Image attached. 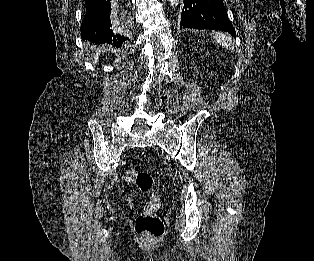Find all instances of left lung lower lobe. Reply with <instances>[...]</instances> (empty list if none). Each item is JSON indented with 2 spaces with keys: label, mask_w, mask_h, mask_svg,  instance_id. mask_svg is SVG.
Masks as SVG:
<instances>
[{
  "label": "left lung lower lobe",
  "mask_w": 314,
  "mask_h": 261,
  "mask_svg": "<svg viewBox=\"0 0 314 261\" xmlns=\"http://www.w3.org/2000/svg\"><path fill=\"white\" fill-rule=\"evenodd\" d=\"M182 28L217 29L236 37L222 0H184Z\"/></svg>",
  "instance_id": "1"
}]
</instances>
